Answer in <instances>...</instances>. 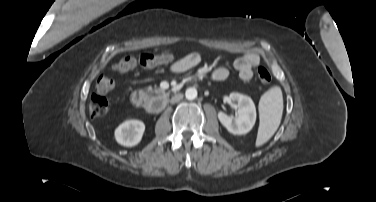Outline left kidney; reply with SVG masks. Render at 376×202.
<instances>
[{"label":"left kidney","mask_w":376,"mask_h":202,"mask_svg":"<svg viewBox=\"0 0 376 202\" xmlns=\"http://www.w3.org/2000/svg\"><path fill=\"white\" fill-rule=\"evenodd\" d=\"M229 100L238 103V116L233 118L223 112H219V121L234 135L248 133L253 128L256 121V108L254 102L250 97L236 92L230 93Z\"/></svg>","instance_id":"obj_1"}]
</instances>
